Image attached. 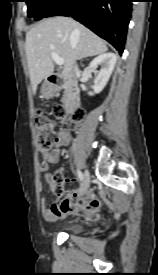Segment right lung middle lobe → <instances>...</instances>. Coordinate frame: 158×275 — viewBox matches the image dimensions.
<instances>
[{
    "instance_id": "obj_1",
    "label": "right lung middle lobe",
    "mask_w": 158,
    "mask_h": 275,
    "mask_svg": "<svg viewBox=\"0 0 158 275\" xmlns=\"http://www.w3.org/2000/svg\"><path fill=\"white\" fill-rule=\"evenodd\" d=\"M28 5V16L40 20L50 9L62 0H25Z\"/></svg>"
}]
</instances>
